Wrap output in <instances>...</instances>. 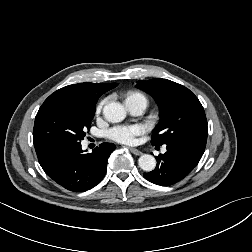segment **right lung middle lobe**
<instances>
[{
	"instance_id": "right-lung-middle-lobe-1",
	"label": "right lung middle lobe",
	"mask_w": 252,
	"mask_h": 252,
	"mask_svg": "<svg viewBox=\"0 0 252 252\" xmlns=\"http://www.w3.org/2000/svg\"><path fill=\"white\" fill-rule=\"evenodd\" d=\"M94 114V105L67 99L45 100L35 117L34 145L80 142Z\"/></svg>"
}]
</instances>
